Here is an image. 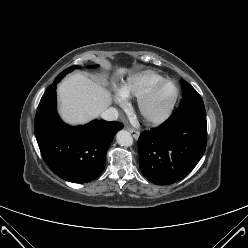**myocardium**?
Here are the masks:
<instances>
[{
  "label": "myocardium",
  "instance_id": "myocardium-1",
  "mask_svg": "<svg viewBox=\"0 0 248 248\" xmlns=\"http://www.w3.org/2000/svg\"><path fill=\"white\" fill-rule=\"evenodd\" d=\"M166 85H172L174 87L175 93L173 99L171 100L167 108L161 113L157 115H148L146 110L150 100L161 87ZM179 97V86L172 80L164 79L152 86L146 93L138 98V110L147 123L154 125L161 124L171 117L178 103Z\"/></svg>",
  "mask_w": 248,
  "mask_h": 248
}]
</instances>
